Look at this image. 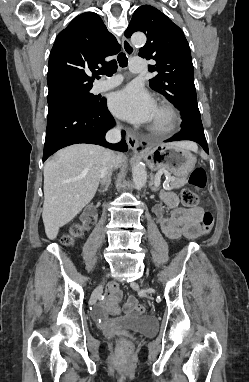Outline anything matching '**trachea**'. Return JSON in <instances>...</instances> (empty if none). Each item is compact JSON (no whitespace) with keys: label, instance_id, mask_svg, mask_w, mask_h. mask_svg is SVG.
Listing matches in <instances>:
<instances>
[{"label":"trachea","instance_id":"3493384b","mask_svg":"<svg viewBox=\"0 0 249 382\" xmlns=\"http://www.w3.org/2000/svg\"><path fill=\"white\" fill-rule=\"evenodd\" d=\"M117 61L121 67H126L128 59L124 53H120L117 57ZM117 61L111 60L108 62L101 70L98 71V74H103L106 76H112L117 71Z\"/></svg>","mask_w":249,"mask_h":382}]
</instances>
